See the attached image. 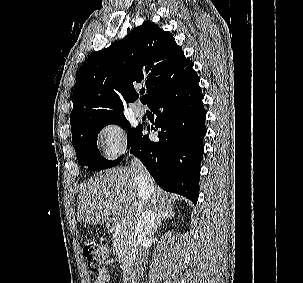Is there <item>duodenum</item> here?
Masks as SVG:
<instances>
[{
    "mask_svg": "<svg viewBox=\"0 0 303 283\" xmlns=\"http://www.w3.org/2000/svg\"><path fill=\"white\" fill-rule=\"evenodd\" d=\"M108 227L112 231H115L117 229V227H118V223L115 222V221H111V222H109ZM128 281H129V283H138L139 279L136 276H134V275H130L129 278H128Z\"/></svg>",
    "mask_w": 303,
    "mask_h": 283,
    "instance_id": "obj_1",
    "label": "duodenum"
}]
</instances>
